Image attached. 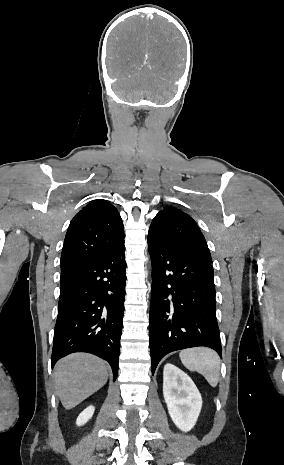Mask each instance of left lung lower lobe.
Listing matches in <instances>:
<instances>
[{"label": "left lung lower lobe", "mask_w": 284, "mask_h": 465, "mask_svg": "<svg viewBox=\"0 0 284 465\" xmlns=\"http://www.w3.org/2000/svg\"><path fill=\"white\" fill-rule=\"evenodd\" d=\"M152 262L149 338L152 374L168 353L206 346L222 357L212 264L148 236Z\"/></svg>", "instance_id": "obj_1"}]
</instances>
